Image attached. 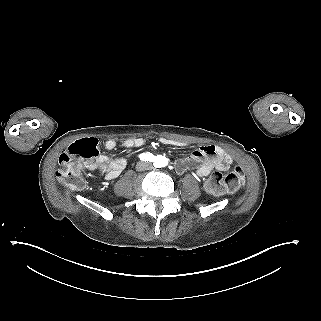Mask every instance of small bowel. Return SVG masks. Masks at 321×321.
Returning a JSON list of instances; mask_svg holds the SVG:
<instances>
[{
    "label": "small bowel",
    "mask_w": 321,
    "mask_h": 321,
    "mask_svg": "<svg viewBox=\"0 0 321 321\" xmlns=\"http://www.w3.org/2000/svg\"><path fill=\"white\" fill-rule=\"evenodd\" d=\"M162 144L172 147H186L188 143L168 138H160ZM144 145L142 138H130L122 143V147L135 150ZM117 146L115 140L109 139L104 142L107 150H114ZM126 159H112L106 155H100L97 159L85 163V168L97 171L107 180L117 178L126 166ZM232 163L231 157L223 149L213 145L201 146L189 156L180 158L175 163V168L179 173L195 169L196 175L200 178L207 177L213 170L226 171Z\"/></svg>",
    "instance_id": "1"
}]
</instances>
